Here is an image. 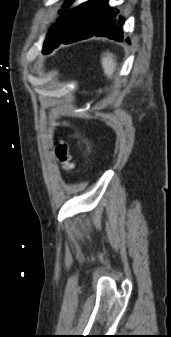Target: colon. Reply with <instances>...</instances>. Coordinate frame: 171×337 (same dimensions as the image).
Wrapping results in <instances>:
<instances>
[{"mask_svg":"<svg viewBox=\"0 0 171 337\" xmlns=\"http://www.w3.org/2000/svg\"><path fill=\"white\" fill-rule=\"evenodd\" d=\"M55 156L64 171H70L71 169H73V162H72L69 146L62 139H58L55 142Z\"/></svg>","mask_w":171,"mask_h":337,"instance_id":"5ec220e1","label":"colon"}]
</instances>
